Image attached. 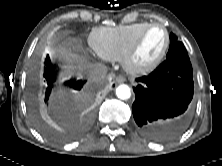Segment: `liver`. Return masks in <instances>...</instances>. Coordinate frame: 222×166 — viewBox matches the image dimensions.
<instances>
[{
    "mask_svg": "<svg viewBox=\"0 0 222 166\" xmlns=\"http://www.w3.org/2000/svg\"><path fill=\"white\" fill-rule=\"evenodd\" d=\"M52 53L59 55L63 61L62 68L67 72H72L74 70H79L80 72L87 68V66H76L73 65L74 62L84 64L85 60L82 57H79L75 53L64 47L52 48Z\"/></svg>",
    "mask_w": 222,
    "mask_h": 166,
    "instance_id": "1",
    "label": "liver"
}]
</instances>
